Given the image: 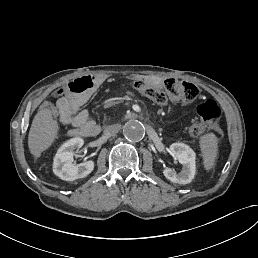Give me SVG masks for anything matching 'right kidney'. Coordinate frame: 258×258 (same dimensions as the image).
Returning <instances> with one entry per match:
<instances>
[{
	"label": "right kidney",
	"instance_id": "1",
	"mask_svg": "<svg viewBox=\"0 0 258 258\" xmlns=\"http://www.w3.org/2000/svg\"><path fill=\"white\" fill-rule=\"evenodd\" d=\"M84 140L80 137L66 141L57 151L53 160V172L62 180L74 181L89 175L94 169L93 161L74 164L73 156L76 148H81Z\"/></svg>",
	"mask_w": 258,
	"mask_h": 258
}]
</instances>
